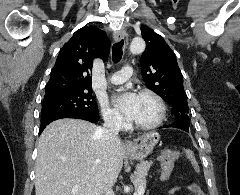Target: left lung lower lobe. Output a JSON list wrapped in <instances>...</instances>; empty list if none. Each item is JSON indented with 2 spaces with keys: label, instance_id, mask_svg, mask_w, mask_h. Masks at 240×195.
<instances>
[{
  "label": "left lung lower lobe",
  "instance_id": "left-lung-lower-lobe-1",
  "mask_svg": "<svg viewBox=\"0 0 240 195\" xmlns=\"http://www.w3.org/2000/svg\"><path fill=\"white\" fill-rule=\"evenodd\" d=\"M165 127H174V128H178V129H182V130H184V131H186V132H188L189 130H187L186 128H184V127H181V126H176V125H173V124H171V125H168V126H165Z\"/></svg>",
  "mask_w": 240,
  "mask_h": 195
}]
</instances>
